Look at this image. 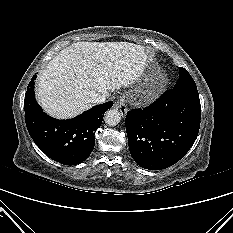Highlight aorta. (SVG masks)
I'll return each mask as SVG.
<instances>
[{"instance_id":"obj_1","label":"aorta","mask_w":233,"mask_h":233,"mask_svg":"<svg viewBox=\"0 0 233 233\" xmlns=\"http://www.w3.org/2000/svg\"><path fill=\"white\" fill-rule=\"evenodd\" d=\"M104 120L109 126H116L121 120V115L117 109H109L104 115Z\"/></svg>"}]
</instances>
